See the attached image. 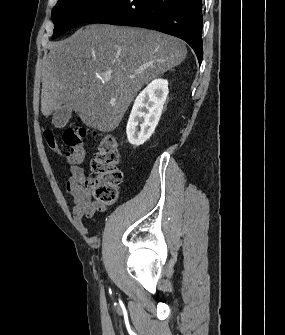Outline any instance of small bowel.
Wrapping results in <instances>:
<instances>
[{
	"label": "small bowel",
	"mask_w": 285,
	"mask_h": 335,
	"mask_svg": "<svg viewBox=\"0 0 285 335\" xmlns=\"http://www.w3.org/2000/svg\"><path fill=\"white\" fill-rule=\"evenodd\" d=\"M66 190L74 201L72 215L78 228L86 233L84 220L91 219L96 213L104 212L106 206L92 199V191L89 178L81 167L71 168L70 177L67 180Z\"/></svg>",
	"instance_id": "small-bowel-1"
}]
</instances>
